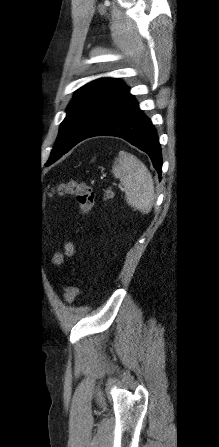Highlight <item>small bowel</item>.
Segmentation results:
<instances>
[{
    "label": "small bowel",
    "mask_w": 219,
    "mask_h": 447,
    "mask_svg": "<svg viewBox=\"0 0 219 447\" xmlns=\"http://www.w3.org/2000/svg\"><path fill=\"white\" fill-rule=\"evenodd\" d=\"M74 251H75V249H74V246H73L72 243H67L65 245V251H64V255L65 256H72L74 254ZM60 260H61V256H57L56 259H55V261L57 263H59Z\"/></svg>",
    "instance_id": "c3829d8e"
}]
</instances>
